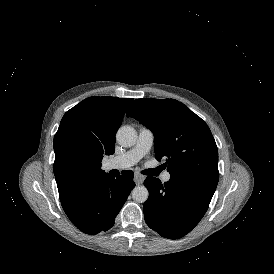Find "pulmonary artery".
Returning <instances> with one entry per match:
<instances>
[{
  "mask_svg": "<svg viewBox=\"0 0 274 274\" xmlns=\"http://www.w3.org/2000/svg\"><path fill=\"white\" fill-rule=\"evenodd\" d=\"M154 141L153 133L147 128H141L138 133V139L133 148L125 152L123 155L115 157L106 162L107 170H124L138 163L152 148ZM170 173L165 172L162 175V181L170 180Z\"/></svg>",
  "mask_w": 274,
  "mask_h": 274,
  "instance_id": "obj_1",
  "label": "pulmonary artery"
}]
</instances>
